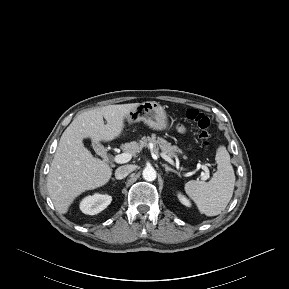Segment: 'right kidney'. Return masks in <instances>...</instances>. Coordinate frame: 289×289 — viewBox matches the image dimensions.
Wrapping results in <instances>:
<instances>
[{"instance_id":"ca27d5eb","label":"right kidney","mask_w":289,"mask_h":289,"mask_svg":"<svg viewBox=\"0 0 289 289\" xmlns=\"http://www.w3.org/2000/svg\"><path fill=\"white\" fill-rule=\"evenodd\" d=\"M111 201L112 197L107 194H94L81 201L80 209L84 214L95 215L107 208Z\"/></svg>"}]
</instances>
